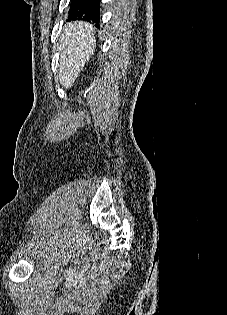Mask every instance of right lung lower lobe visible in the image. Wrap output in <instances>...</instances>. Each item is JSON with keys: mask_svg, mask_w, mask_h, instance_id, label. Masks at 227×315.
I'll use <instances>...</instances> for the list:
<instances>
[{"mask_svg": "<svg viewBox=\"0 0 227 315\" xmlns=\"http://www.w3.org/2000/svg\"><path fill=\"white\" fill-rule=\"evenodd\" d=\"M100 0H71L69 20H85L98 24Z\"/></svg>", "mask_w": 227, "mask_h": 315, "instance_id": "98d812e1", "label": "right lung lower lobe"}]
</instances>
